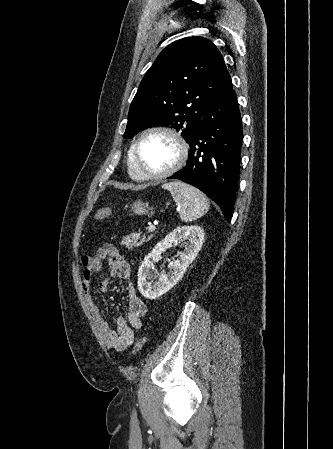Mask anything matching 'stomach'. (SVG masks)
Returning a JSON list of instances; mask_svg holds the SVG:
<instances>
[{
    "mask_svg": "<svg viewBox=\"0 0 333 449\" xmlns=\"http://www.w3.org/2000/svg\"><path fill=\"white\" fill-rule=\"evenodd\" d=\"M132 210L137 215H144L148 212V207L147 204L137 201L133 203Z\"/></svg>",
    "mask_w": 333,
    "mask_h": 449,
    "instance_id": "1",
    "label": "stomach"
}]
</instances>
